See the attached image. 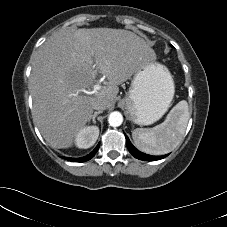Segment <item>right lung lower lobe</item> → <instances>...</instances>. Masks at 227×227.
<instances>
[{"mask_svg":"<svg viewBox=\"0 0 227 227\" xmlns=\"http://www.w3.org/2000/svg\"><path fill=\"white\" fill-rule=\"evenodd\" d=\"M99 145H100V144H98V145L96 146V148H95L90 154H88V155L85 156V157H81V158H69V157H67V158H65V159L68 160V161H73V162H85V161H88V160H90L92 157H94V155L96 154V152H97L98 149H99Z\"/></svg>","mask_w":227,"mask_h":227,"instance_id":"right-lung-lower-lobe-1","label":"right lung lower lobe"}]
</instances>
